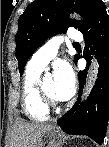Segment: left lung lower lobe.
Masks as SVG:
<instances>
[{
  "instance_id": "0a47b994",
  "label": "left lung lower lobe",
  "mask_w": 109,
  "mask_h": 147,
  "mask_svg": "<svg viewBox=\"0 0 109 147\" xmlns=\"http://www.w3.org/2000/svg\"><path fill=\"white\" fill-rule=\"evenodd\" d=\"M85 37L87 68L78 73L79 97L82 94L92 54L96 55L99 72L96 84L85 103L80 99L70 111L57 120L67 134L87 135L102 144L109 120V15L102 2L92 14L88 23L80 30ZM79 59L77 57L76 61Z\"/></svg>"
}]
</instances>
